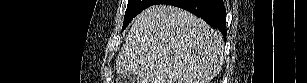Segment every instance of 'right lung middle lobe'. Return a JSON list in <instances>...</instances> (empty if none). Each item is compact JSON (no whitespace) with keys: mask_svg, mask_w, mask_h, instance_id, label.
Segmentation results:
<instances>
[{"mask_svg":"<svg viewBox=\"0 0 307 83\" xmlns=\"http://www.w3.org/2000/svg\"><path fill=\"white\" fill-rule=\"evenodd\" d=\"M153 0H128V5L124 17L122 30L138 15L142 10L151 6Z\"/></svg>","mask_w":307,"mask_h":83,"instance_id":"dd1d6c3e","label":"right lung middle lobe"}]
</instances>
